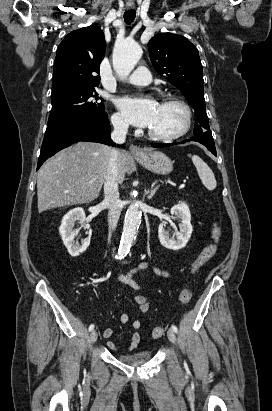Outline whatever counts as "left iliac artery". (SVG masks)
<instances>
[{
	"label": "left iliac artery",
	"instance_id": "44dca946",
	"mask_svg": "<svg viewBox=\"0 0 272 411\" xmlns=\"http://www.w3.org/2000/svg\"><path fill=\"white\" fill-rule=\"evenodd\" d=\"M171 329L174 331V332H178V329H177V327L175 326V325H171Z\"/></svg>",
	"mask_w": 272,
	"mask_h": 411
}]
</instances>
